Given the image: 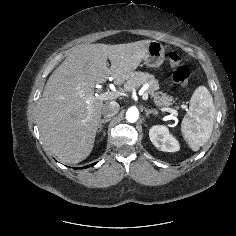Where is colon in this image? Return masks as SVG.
Returning a JSON list of instances; mask_svg holds the SVG:
<instances>
[{"mask_svg":"<svg viewBox=\"0 0 236 236\" xmlns=\"http://www.w3.org/2000/svg\"><path fill=\"white\" fill-rule=\"evenodd\" d=\"M168 62L173 70L172 78L174 82L179 84L182 88L187 89L190 85V70L184 64L182 56L172 51L168 54Z\"/></svg>","mask_w":236,"mask_h":236,"instance_id":"obj_1","label":"colon"}]
</instances>
